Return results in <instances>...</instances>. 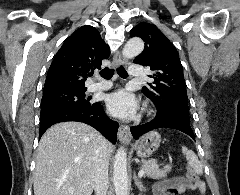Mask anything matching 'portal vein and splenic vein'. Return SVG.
I'll return each instance as SVG.
<instances>
[{
    "label": "portal vein and splenic vein",
    "mask_w": 240,
    "mask_h": 195,
    "mask_svg": "<svg viewBox=\"0 0 240 195\" xmlns=\"http://www.w3.org/2000/svg\"><path fill=\"white\" fill-rule=\"evenodd\" d=\"M144 173H145L144 169H140V171H138L139 177H143Z\"/></svg>",
    "instance_id": "portal-vein-and-splenic-vein-1"
}]
</instances>
